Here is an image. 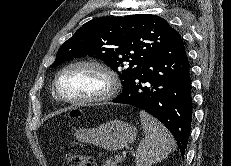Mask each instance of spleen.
<instances>
[{
	"label": "spleen",
	"instance_id": "obj_1",
	"mask_svg": "<svg viewBox=\"0 0 231 166\" xmlns=\"http://www.w3.org/2000/svg\"><path fill=\"white\" fill-rule=\"evenodd\" d=\"M145 139L140 142L135 154L137 166H151L165 159L176 149L172 134L153 116L140 111Z\"/></svg>",
	"mask_w": 231,
	"mask_h": 166
}]
</instances>
